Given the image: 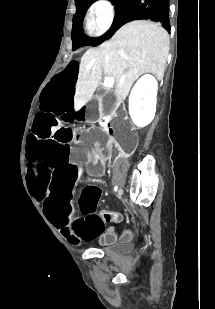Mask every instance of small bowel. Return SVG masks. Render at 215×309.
Wrapping results in <instances>:
<instances>
[{"label":"small bowel","mask_w":215,"mask_h":309,"mask_svg":"<svg viewBox=\"0 0 215 309\" xmlns=\"http://www.w3.org/2000/svg\"><path fill=\"white\" fill-rule=\"evenodd\" d=\"M129 239V236L128 235H125L124 237H123V240H128Z\"/></svg>","instance_id":"small-bowel-1"}]
</instances>
